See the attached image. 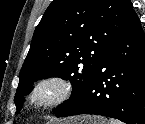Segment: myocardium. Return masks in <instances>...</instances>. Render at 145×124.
<instances>
[{
  "label": "myocardium",
  "mask_w": 145,
  "mask_h": 124,
  "mask_svg": "<svg viewBox=\"0 0 145 124\" xmlns=\"http://www.w3.org/2000/svg\"><path fill=\"white\" fill-rule=\"evenodd\" d=\"M73 93L69 79L50 75L39 79L31 87L27 100L35 109H51L65 103Z\"/></svg>",
  "instance_id": "f54148a6"
}]
</instances>
